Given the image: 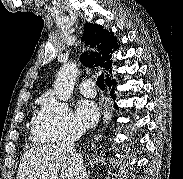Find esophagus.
Here are the masks:
<instances>
[{
	"mask_svg": "<svg viewBox=\"0 0 183 179\" xmlns=\"http://www.w3.org/2000/svg\"><path fill=\"white\" fill-rule=\"evenodd\" d=\"M111 115H112V112L110 109H107L106 112L104 113V116H103V123L107 126L110 122V119H111ZM101 137V135L99 136ZM98 137V138H99Z\"/></svg>",
	"mask_w": 183,
	"mask_h": 179,
	"instance_id": "esophagus-1",
	"label": "esophagus"
}]
</instances>
